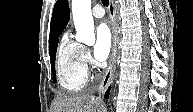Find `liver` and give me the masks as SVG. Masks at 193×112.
Wrapping results in <instances>:
<instances>
[{"instance_id":"6515ba94","label":"liver","mask_w":193,"mask_h":112,"mask_svg":"<svg viewBox=\"0 0 193 112\" xmlns=\"http://www.w3.org/2000/svg\"><path fill=\"white\" fill-rule=\"evenodd\" d=\"M102 102L92 95L63 96L55 99L51 112H101Z\"/></svg>"}]
</instances>
